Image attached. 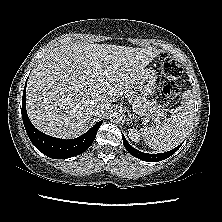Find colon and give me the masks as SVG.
<instances>
[{
	"instance_id": "1",
	"label": "colon",
	"mask_w": 222,
	"mask_h": 222,
	"mask_svg": "<svg viewBox=\"0 0 222 222\" xmlns=\"http://www.w3.org/2000/svg\"><path fill=\"white\" fill-rule=\"evenodd\" d=\"M160 69L164 76L162 96L166 100L175 99L180 93L178 80L182 75V67L170 56L162 55L159 59Z\"/></svg>"
}]
</instances>
